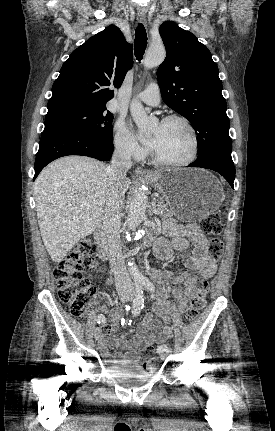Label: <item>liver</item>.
<instances>
[{"mask_svg": "<svg viewBox=\"0 0 275 431\" xmlns=\"http://www.w3.org/2000/svg\"><path fill=\"white\" fill-rule=\"evenodd\" d=\"M106 165L85 156H67L48 165L34 185L38 224L54 262L101 224L109 189ZM131 181L125 178L123 191Z\"/></svg>", "mask_w": 275, "mask_h": 431, "instance_id": "liver-1", "label": "liver"}]
</instances>
